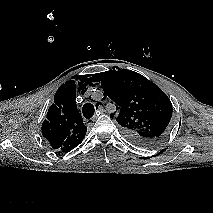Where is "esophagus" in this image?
I'll return each mask as SVG.
<instances>
[{
  "label": "esophagus",
  "mask_w": 213,
  "mask_h": 213,
  "mask_svg": "<svg viewBox=\"0 0 213 213\" xmlns=\"http://www.w3.org/2000/svg\"><path fill=\"white\" fill-rule=\"evenodd\" d=\"M97 112L98 113H105V109L101 106V105H98V107H97ZM96 118H97V116H94L92 119H91V121H95L96 120Z\"/></svg>",
  "instance_id": "obj_1"
}]
</instances>
